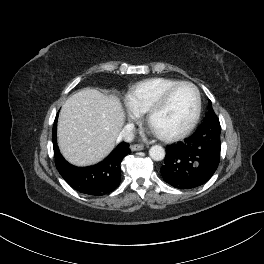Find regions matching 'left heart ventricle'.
<instances>
[{
    "label": "left heart ventricle",
    "instance_id": "left-heart-ventricle-1",
    "mask_svg": "<svg viewBox=\"0 0 264 264\" xmlns=\"http://www.w3.org/2000/svg\"><path fill=\"white\" fill-rule=\"evenodd\" d=\"M195 106L196 96L193 88L182 85L172 92L167 104L154 115L151 128L163 134L180 131L191 120Z\"/></svg>",
    "mask_w": 264,
    "mask_h": 264
}]
</instances>
